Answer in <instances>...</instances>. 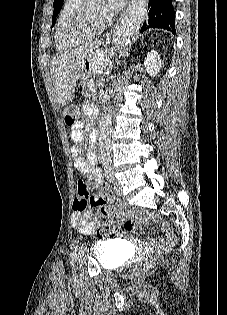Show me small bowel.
Returning a JSON list of instances; mask_svg holds the SVG:
<instances>
[{
  "mask_svg": "<svg viewBox=\"0 0 227 315\" xmlns=\"http://www.w3.org/2000/svg\"><path fill=\"white\" fill-rule=\"evenodd\" d=\"M71 138L74 142V145L71 148V154L74 159V167L87 178L88 182L92 183L96 187H101L103 185V177L101 170L96 164V155L93 146L88 148L87 159L82 156L83 129L80 124L73 127ZM106 197L107 216L115 219H123L128 212L126 205L122 203L114 204L108 192L106 193ZM71 223L75 230L83 234H91L94 232L98 220L95 219L94 212L92 210H85L82 213H74ZM161 227L164 232V237L152 244L151 247L155 251H161L168 248L174 241V236L169 225L161 222Z\"/></svg>",
  "mask_w": 227,
  "mask_h": 315,
  "instance_id": "obj_1",
  "label": "small bowel"
}]
</instances>
